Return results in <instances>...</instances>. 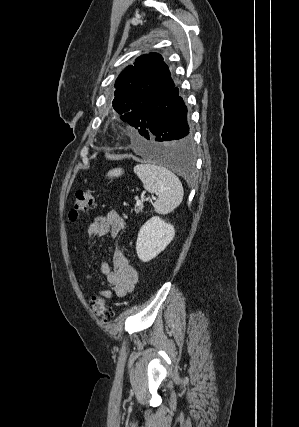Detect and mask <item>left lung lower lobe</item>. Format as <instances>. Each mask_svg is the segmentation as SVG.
<instances>
[{
	"label": "left lung lower lobe",
	"mask_w": 299,
	"mask_h": 427,
	"mask_svg": "<svg viewBox=\"0 0 299 427\" xmlns=\"http://www.w3.org/2000/svg\"><path fill=\"white\" fill-rule=\"evenodd\" d=\"M134 126L150 142L140 143L138 149L149 159L187 173L192 168V134L187 123V108L178 88L165 98L140 108Z\"/></svg>",
	"instance_id": "left-lung-lower-lobe-1"
}]
</instances>
